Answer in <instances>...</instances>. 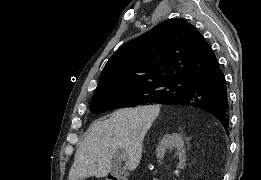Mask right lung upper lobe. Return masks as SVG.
<instances>
[{"instance_id": "1", "label": "right lung upper lobe", "mask_w": 261, "mask_h": 180, "mask_svg": "<svg viewBox=\"0 0 261 180\" xmlns=\"http://www.w3.org/2000/svg\"><path fill=\"white\" fill-rule=\"evenodd\" d=\"M217 64L200 32L181 18L169 19L116 51L101 73L93 98L162 80L190 81Z\"/></svg>"}]
</instances>
